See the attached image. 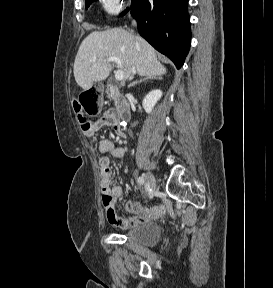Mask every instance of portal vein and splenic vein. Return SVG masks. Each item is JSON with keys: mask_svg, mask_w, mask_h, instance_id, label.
Here are the masks:
<instances>
[{"mask_svg": "<svg viewBox=\"0 0 273 288\" xmlns=\"http://www.w3.org/2000/svg\"><path fill=\"white\" fill-rule=\"evenodd\" d=\"M93 60H96V57L93 58ZM108 62H114L116 63L118 66H120V60L118 57H109L107 59ZM115 79L118 81H122L124 79V72L122 69H119L115 72Z\"/></svg>", "mask_w": 273, "mask_h": 288, "instance_id": "1", "label": "portal vein and splenic vein"}]
</instances>
